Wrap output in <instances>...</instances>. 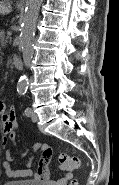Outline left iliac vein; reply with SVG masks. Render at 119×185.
Listing matches in <instances>:
<instances>
[{"label": "left iliac vein", "instance_id": "obj_1", "mask_svg": "<svg viewBox=\"0 0 119 185\" xmlns=\"http://www.w3.org/2000/svg\"><path fill=\"white\" fill-rule=\"evenodd\" d=\"M30 116H31V120L33 122H37L38 121V115L33 110H31Z\"/></svg>", "mask_w": 119, "mask_h": 185}]
</instances>
